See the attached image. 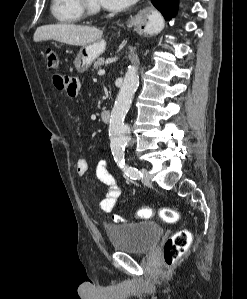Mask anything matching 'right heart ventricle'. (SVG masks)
Listing matches in <instances>:
<instances>
[{
    "label": "right heart ventricle",
    "mask_w": 247,
    "mask_h": 299,
    "mask_svg": "<svg viewBox=\"0 0 247 299\" xmlns=\"http://www.w3.org/2000/svg\"><path fill=\"white\" fill-rule=\"evenodd\" d=\"M51 14L61 24H75L83 19V11L79 0H52Z\"/></svg>",
    "instance_id": "right-heart-ventricle-1"
}]
</instances>
